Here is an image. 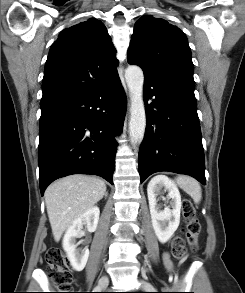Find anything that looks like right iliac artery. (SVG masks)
Listing matches in <instances>:
<instances>
[{
    "instance_id": "82829eb1",
    "label": "right iliac artery",
    "mask_w": 245,
    "mask_h": 293,
    "mask_svg": "<svg viewBox=\"0 0 245 293\" xmlns=\"http://www.w3.org/2000/svg\"><path fill=\"white\" fill-rule=\"evenodd\" d=\"M95 290H96V291H98V290H99V288H98V287H96V288H95Z\"/></svg>"
}]
</instances>
